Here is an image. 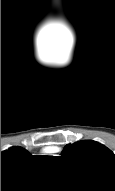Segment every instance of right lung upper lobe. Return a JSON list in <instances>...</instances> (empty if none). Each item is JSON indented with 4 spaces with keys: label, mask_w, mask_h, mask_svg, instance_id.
I'll list each match as a JSON object with an SVG mask.
<instances>
[{
    "label": "right lung upper lobe",
    "mask_w": 115,
    "mask_h": 191,
    "mask_svg": "<svg viewBox=\"0 0 115 191\" xmlns=\"http://www.w3.org/2000/svg\"><path fill=\"white\" fill-rule=\"evenodd\" d=\"M26 155H29V152L26 149L14 146L1 152V159H21Z\"/></svg>",
    "instance_id": "right-lung-upper-lobe-1"
}]
</instances>
